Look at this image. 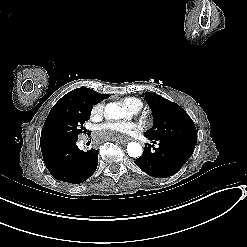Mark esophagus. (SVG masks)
Wrapping results in <instances>:
<instances>
[{
	"label": "esophagus",
	"instance_id": "34e87169",
	"mask_svg": "<svg viewBox=\"0 0 247 247\" xmlns=\"http://www.w3.org/2000/svg\"><path fill=\"white\" fill-rule=\"evenodd\" d=\"M134 142L136 143L138 146H141L143 144V141L141 139H129L128 143Z\"/></svg>",
	"mask_w": 247,
	"mask_h": 247
}]
</instances>
